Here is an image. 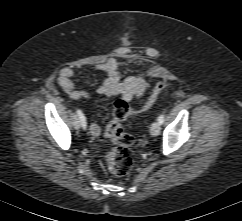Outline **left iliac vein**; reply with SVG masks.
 Returning a JSON list of instances; mask_svg holds the SVG:
<instances>
[{
    "mask_svg": "<svg viewBox=\"0 0 242 221\" xmlns=\"http://www.w3.org/2000/svg\"><path fill=\"white\" fill-rule=\"evenodd\" d=\"M161 130L160 123L158 121H155L152 123L150 128V133L152 136H158Z\"/></svg>",
    "mask_w": 242,
    "mask_h": 221,
    "instance_id": "4c4485c4",
    "label": "left iliac vein"
}]
</instances>
